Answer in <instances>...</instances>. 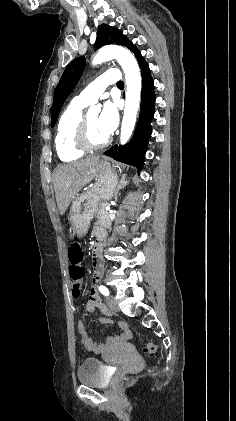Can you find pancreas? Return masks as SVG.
<instances>
[{
  "mask_svg": "<svg viewBox=\"0 0 236 421\" xmlns=\"http://www.w3.org/2000/svg\"><path fill=\"white\" fill-rule=\"evenodd\" d=\"M105 205L106 202H100L95 225H100V227H105V229H111V221L107 211H105Z\"/></svg>",
  "mask_w": 236,
  "mask_h": 421,
  "instance_id": "1",
  "label": "pancreas"
}]
</instances>
